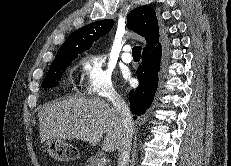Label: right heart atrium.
I'll return each instance as SVG.
<instances>
[{
	"label": "right heart atrium",
	"mask_w": 231,
	"mask_h": 166,
	"mask_svg": "<svg viewBox=\"0 0 231 166\" xmlns=\"http://www.w3.org/2000/svg\"><path fill=\"white\" fill-rule=\"evenodd\" d=\"M83 72V89L93 97H115L112 72L107 67L105 59L97 53H86L81 60Z\"/></svg>",
	"instance_id": "obj_1"
}]
</instances>
